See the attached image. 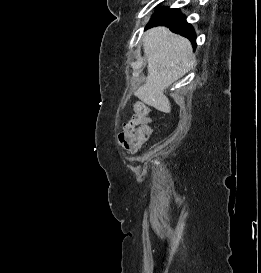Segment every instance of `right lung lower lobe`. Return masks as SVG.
Instances as JSON below:
<instances>
[{
	"mask_svg": "<svg viewBox=\"0 0 261 273\" xmlns=\"http://www.w3.org/2000/svg\"><path fill=\"white\" fill-rule=\"evenodd\" d=\"M160 25L168 26L172 32L188 38L194 46L196 45V34L178 9H167L164 13L153 16L147 27Z\"/></svg>",
	"mask_w": 261,
	"mask_h": 273,
	"instance_id": "1",
	"label": "right lung lower lobe"
}]
</instances>
